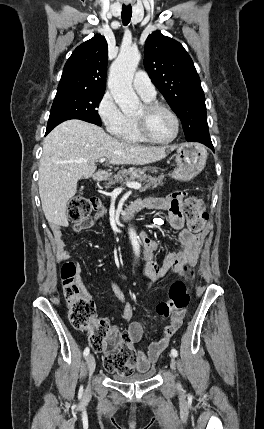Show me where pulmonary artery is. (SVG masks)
I'll return each instance as SVG.
<instances>
[{
  "mask_svg": "<svg viewBox=\"0 0 264 429\" xmlns=\"http://www.w3.org/2000/svg\"><path fill=\"white\" fill-rule=\"evenodd\" d=\"M135 91L146 100H152L156 96L155 86L144 71H138L133 79Z\"/></svg>",
  "mask_w": 264,
  "mask_h": 429,
  "instance_id": "obj_1",
  "label": "pulmonary artery"
}]
</instances>
